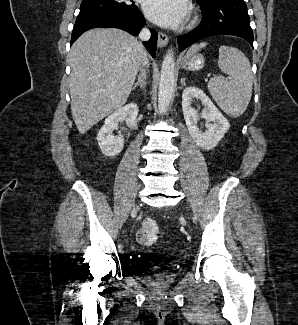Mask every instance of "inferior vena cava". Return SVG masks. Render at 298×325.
Returning <instances> with one entry per match:
<instances>
[{"label": "inferior vena cava", "instance_id": "1", "mask_svg": "<svg viewBox=\"0 0 298 325\" xmlns=\"http://www.w3.org/2000/svg\"><path fill=\"white\" fill-rule=\"evenodd\" d=\"M139 38H141V40H149V38H151V32L149 30V28H142V30H140L139 34H138ZM142 64L143 66H148V58H147V52L146 50H144L143 52V56H142ZM141 70H146V68H141ZM146 74V72H145Z\"/></svg>", "mask_w": 298, "mask_h": 325}]
</instances>
